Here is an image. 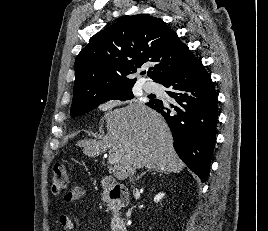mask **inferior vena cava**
Masks as SVG:
<instances>
[{
  "label": "inferior vena cava",
  "instance_id": "inferior-vena-cava-1",
  "mask_svg": "<svg viewBox=\"0 0 268 231\" xmlns=\"http://www.w3.org/2000/svg\"><path fill=\"white\" fill-rule=\"evenodd\" d=\"M134 173H135V170H133V171L131 172V177H133ZM131 177H130V180L133 181V178H131Z\"/></svg>",
  "mask_w": 268,
  "mask_h": 231
}]
</instances>
